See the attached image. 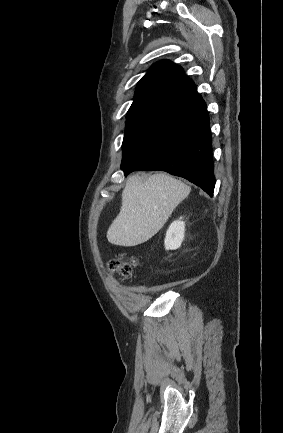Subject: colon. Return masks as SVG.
Segmentation results:
<instances>
[{
  "mask_svg": "<svg viewBox=\"0 0 283 433\" xmlns=\"http://www.w3.org/2000/svg\"><path fill=\"white\" fill-rule=\"evenodd\" d=\"M135 264L136 261L132 258L119 257L110 263V268L113 272H116L123 277H127L131 274Z\"/></svg>",
  "mask_w": 283,
  "mask_h": 433,
  "instance_id": "colon-1",
  "label": "colon"
}]
</instances>
